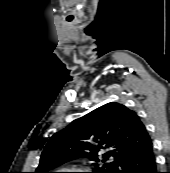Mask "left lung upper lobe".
<instances>
[{
  "label": "left lung upper lobe",
  "instance_id": "1",
  "mask_svg": "<svg viewBox=\"0 0 170 173\" xmlns=\"http://www.w3.org/2000/svg\"><path fill=\"white\" fill-rule=\"evenodd\" d=\"M150 142L134 111L119 103H107L55 133L45 146L35 173H51V169L80 157L95 162L92 173H113L125 155Z\"/></svg>",
  "mask_w": 170,
  "mask_h": 173
}]
</instances>
